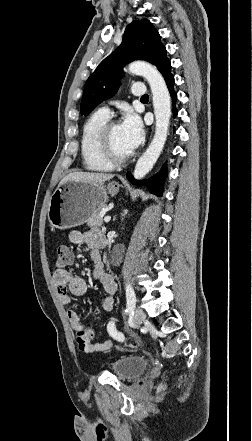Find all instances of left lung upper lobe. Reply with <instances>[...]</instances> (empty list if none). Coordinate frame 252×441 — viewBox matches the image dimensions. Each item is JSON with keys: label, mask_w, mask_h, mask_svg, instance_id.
I'll return each instance as SVG.
<instances>
[{"label": "left lung upper lobe", "mask_w": 252, "mask_h": 441, "mask_svg": "<svg viewBox=\"0 0 252 441\" xmlns=\"http://www.w3.org/2000/svg\"><path fill=\"white\" fill-rule=\"evenodd\" d=\"M164 50L153 24L147 19L134 20L127 26L121 45L98 65L86 81L80 105L81 114L88 115L103 100L117 92L125 64L145 60L156 66Z\"/></svg>", "instance_id": "obj_1"}]
</instances>
